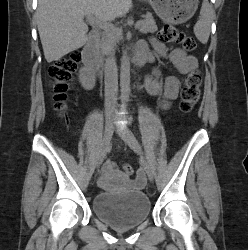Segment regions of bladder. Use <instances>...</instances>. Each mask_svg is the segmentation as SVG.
<instances>
[{"instance_id":"1","label":"bladder","mask_w":248,"mask_h":250,"mask_svg":"<svg viewBox=\"0 0 248 250\" xmlns=\"http://www.w3.org/2000/svg\"><path fill=\"white\" fill-rule=\"evenodd\" d=\"M93 211L110 226L127 229L138 226L149 217L151 203L141 190L126 193L106 191L94 197Z\"/></svg>"}]
</instances>
